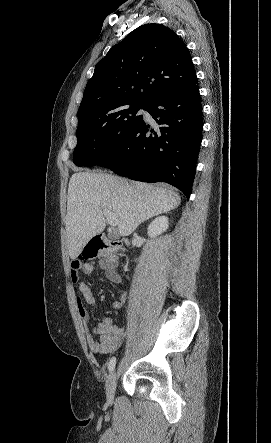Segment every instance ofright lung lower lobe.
I'll return each mask as SVG.
<instances>
[{
  "instance_id": "obj_1",
  "label": "right lung lower lobe",
  "mask_w": 271,
  "mask_h": 443,
  "mask_svg": "<svg viewBox=\"0 0 271 443\" xmlns=\"http://www.w3.org/2000/svg\"><path fill=\"white\" fill-rule=\"evenodd\" d=\"M197 84L157 95L146 108L157 126L143 120L101 166L133 180L167 182L189 199L203 126Z\"/></svg>"
}]
</instances>
